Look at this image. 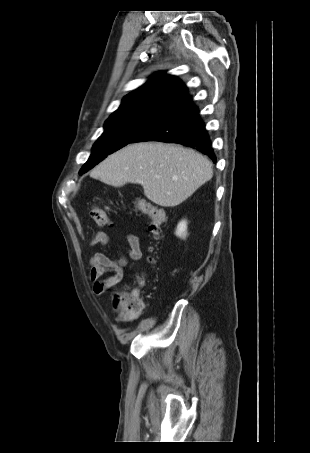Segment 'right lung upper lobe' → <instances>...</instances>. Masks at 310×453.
Here are the masks:
<instances>
[{
  "label": "right lung upper lobe",
  "instance_id": "right-lung-upper-lobe-1",
  "mask_svg": "<svg viewBox=\"0 0 310 453\" xmlns=\"http://www.w3.org/2000/svg\"><path fill=\"white\" fill-rule=\"evenodd\" d=\"M188 95L187 87L178 78L159 72L143 86L127 94L120 107L111 116L159 117L173 104Z\"/></svg>",
  "mask_w": 310,
  "mask_h": 453
}]
</instances>
